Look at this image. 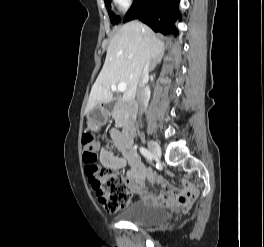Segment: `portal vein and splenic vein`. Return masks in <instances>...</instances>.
Listing matches in <instances>:
<instances>
[{
	"instance_id": "1",
	"label": "portal vein and splenic vein",
	"mask_w": 264,
	"mask_h": 247,
	"mask_svg": "<svg viewBox=\"0 0 264 247\" xmlns=\"http://www.w3.org/2000/svg\"><path fill=\"white\" fill-rule=\"evenodd\" d=\"M126 89H127V85L124 82H120L117 85L116 84H112L111 85V90L112 91H117L118 90L119 92H125Z\"/></svg>"
}]
</instances>
